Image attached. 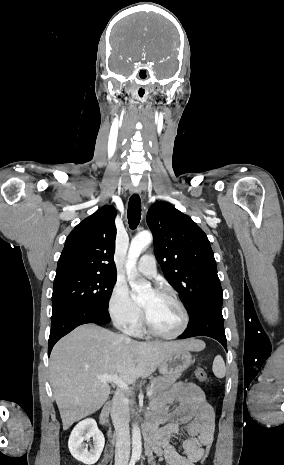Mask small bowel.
<instances>
[{"mask_svg": "<svg viewBox=\"0 0 284 465\" xmlns=\"http://www.w3.org/2000/svg\"><path fill=\"white\" fill-rule=\"evenodd\" d=\"M145 428L151 435L146 442L148 465H156V458L168 465H195L204 446L213 442L215 414L198 385L178 382L155 402ZM179 434H185L181 450L172 442Z\"/></svg>", "mask_w": 284, "mask_h": 465, "instance_id": "obj_1", "label": "small bowel"}]
</instances>
